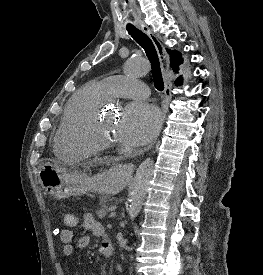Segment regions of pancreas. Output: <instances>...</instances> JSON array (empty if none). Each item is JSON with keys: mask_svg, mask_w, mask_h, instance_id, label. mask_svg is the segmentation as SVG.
Returning <instances> with one entry per match:
<instances>
[{"mask_svg": "<svg viewBox=\"0 0 263 275\" xmlns=\"http://www.w3.org/2000/svg\"><path fill=\"white\" fill-rule=\"evenodd\" d=\"M107 201H108V197L106 196L100 197L101 207L99 210L96 211V214L100 219H103L108 213V204H106Z\"/></svg>", "mask_w": 263, "mask_h": 275, "instance_id": "1", "label": "pancreas"}]
</instances>
